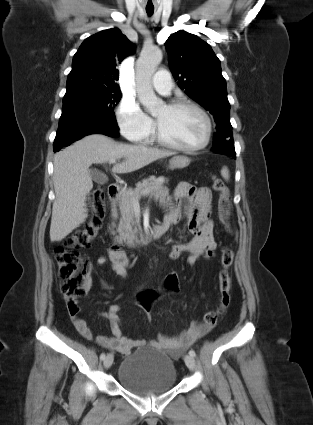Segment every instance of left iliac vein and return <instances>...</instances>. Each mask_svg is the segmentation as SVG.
Segmentation results:
<instances>
[{
    "instance_id": "left-iliac-vein-1",
    "label": "left iliac vein",
    "mask_w": 313,
    "mask_h": 425,
    "mask_svg": "<svg viewBox=\"0 0 313 425\" xmlns=\"http://www.w3.org/2000/svg\"><path fill=\"white\" fill-rule=\"evenodd\" d=\"M184 361H185V364L187 365V367L190 370H194L195 369L196 362H195V359H194L193 356H191V355H185Z\"/></svg>"
}]
</instances>
